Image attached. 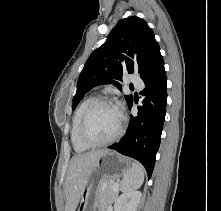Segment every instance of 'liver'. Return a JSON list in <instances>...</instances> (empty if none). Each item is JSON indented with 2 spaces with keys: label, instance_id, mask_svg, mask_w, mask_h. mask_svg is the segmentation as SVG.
<instances>
[{
  "label": "liver",
  "instance_id": "obj_1",
  "mask_svg": "<svg viewBox=\"0 0 221 211\" xmlns=\"http://www.w3.org/2000/svg\"><path fill=\"white\" fill-rule=\"evenodd\" d=\"M107 150L91 151L72 157L65 181L66 207L65 211H75L85 184V179L96 160Z\"/></svg>",
  "mask_w": 221,
  "mask_h": 211
}]
</instances>
